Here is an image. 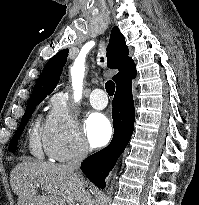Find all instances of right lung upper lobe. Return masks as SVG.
<instances>
[{"instance_id": "right-lung-upper-lobe-1", "label": "right lung upper lobe", "mask_w": 199, "mask_h": 205, "mask_svg": "<svg viewBox=\"0 0 199 205\" xmlns=\"http://www.w3.org/2000/svg\"><path fill=\"white\" fill-rule=\"evenodd\" d=\"M69 49H64L53 56L45 65L39 76L29 101L44 99L50 94L59 82L63 67L67 61ZM125 43L124 36L115 26L111 31L109 45L107 47L108 67L118 69L119 73L113 77L116 85L136 75V66ZM28 101V102H29Z\"/></svg>"}]
</instances>
